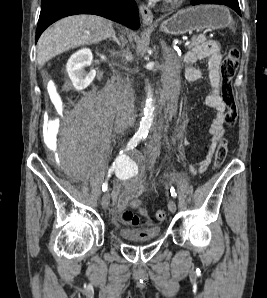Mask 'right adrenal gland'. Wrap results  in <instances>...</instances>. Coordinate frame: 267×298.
<instances>
[{
    "mask_svg": "<svg viewBox=\"0 0 267 298\" xmlns=\"http://www.w3.org/2000/svg\"><path fill=\"white\" fill-rule=\"evenodd\" d=\"M109 40H113V41H115L118 45H120V41L118 40V38H117L115 32L113 33L112 37L109 38Z\"/></svg>",
    "mask_w": 267,
    "mask_h": 298,
    "instance_id": "right-adrenal-gland-1",
    "label": "right adrenal gland"
}]
</instances>
